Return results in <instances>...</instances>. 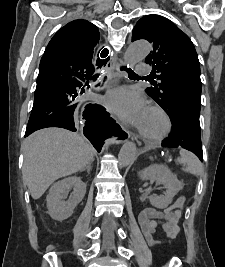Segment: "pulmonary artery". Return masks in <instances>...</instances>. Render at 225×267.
I'll return each mask as SVG.
<instances>
[{
	"mask_svg": "<svg viewBox=\"0 0 225 267\" xmlns=\"http://www.w3.org/2000/svg\"><path fill=\"white\" fill-rule=\"evenodd\" d=\"M149 73V67L146 64L137 65V74L138 75H147Z\"/></svg>",
	"mask_w": 225,
	"mask_h": 267,
	"instance_id": "e3ab8cb5",
	"label": "pulmonary artery"
}]
</instances>
